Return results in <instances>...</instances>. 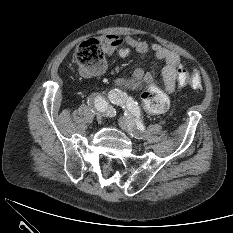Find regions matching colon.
<instances>
[{
  "mask_svg": "<svg viewBox=\"0 0 233 233\" xmlns=\"http://www.w3.org/2000/svg\"><path fill=\"white\" fill-rule=\"evenodd\" d=\"M76 60L84 74H92L104 65V47L99 39H89L82 42L75 53ZM177 85L191 86L194 89L201 87V76L198 71H189L181 68L178 71ZM142 106L148 114L165 112L170 105L168 96L160 89L152 87L142 95Z\"/></svg>",
  "mask_w": 233,
  "mask_h": 233,
  "instance_id": "obj_1",
  "label": "colon"
}]
</instances>
